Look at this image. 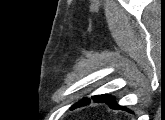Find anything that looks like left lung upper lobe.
Instances as JSON below:
<instances>
[{
	"mask_svg": "<svg viewBox=\"0 0 165 120\" xmlns=\"http://www.w3.org/2000/svg\"><path fill=\"white\" fill-rule=\"evenodd\" d=\"M109 96L107 95H97V96H93L92 98L97 100V101H104L106 98H108ZM86 103H90V99L89 98H84L82 100H80L79 102H77L76 104H74L73 107H76V106H82Z\"/></svg>",
	"mask_w": 165,
	"mask_h": 120,
	"instance_id": "left-lung-upper-lobe-1",
	"label": "left lung upper lobe"
}]
</instances>
